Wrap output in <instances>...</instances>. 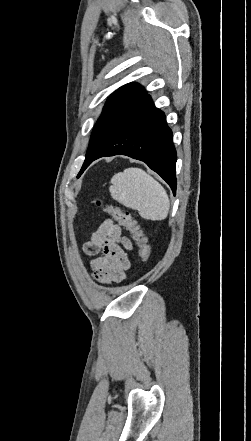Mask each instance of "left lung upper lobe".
<instances>
[{"label": "left lung upper lobe", "instance_id": "left-lung-upper-lobe-1", "mask_svg": "<svg viewBox=\"0 0 251 441\" xmlns=\"http://www.w3.org/2000/svg\"><path fill=\"white\" fill-rule=\"evenodd\" d=\"M144 95H146V91L137 83H129L122 86L109 97L100 118L109 115L121 116L128 113L133 105Z\"/></svg>", "mask_w": 251, "mask_h": 441}]
</instances>
